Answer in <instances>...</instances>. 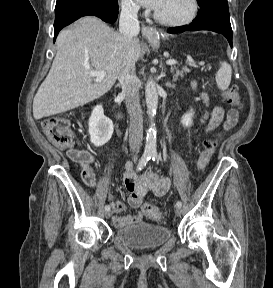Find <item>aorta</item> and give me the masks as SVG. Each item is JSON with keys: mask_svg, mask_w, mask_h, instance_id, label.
<instances>
[{"mask_svg": "<svg viewBox=\"0 0 273 288\" xmlns=\"http://www.w3.org/2000/svg\"><path fill=\"white\" fill-rule=\"evenodd\" d=\"M145 98L147 105V114L150 118V127L147 132L145 144V154L154 155L156 154V131L154 129L153 119L158 106V94L156 84L152 78H149L145 86Z\"/></svg>", "mask_w": 273, "mask_h": 288, "instance_id": "762f6f07", "label": "aorta"}]
</instances>
